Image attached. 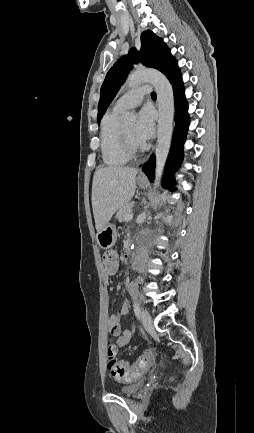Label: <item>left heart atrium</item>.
Wrapping results in <instances>:
<instances>
[{
    "instance_id": "left-heart-atrium-1",
    "label": "left heart atrium",
    "mask_w": 254,
    "mask_h": 433,
    "mask_svg": "<svg viewBox=\"0 0 254 433\" xmlns=\"http://www.w3.org/2000/svg\"><path fill=\"white\" fill-rule=\"evenodd\" d=\"M155 115L150 108H143L138 113V119L134 129V135L137 141L143 145L154 133Z\"/></svg>"
}]
</instances>
